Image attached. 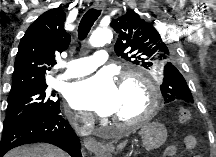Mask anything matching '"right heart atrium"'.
<instances>
[{
  "instance_id": "1",
  "label": "right heart atrium",
  "mask_w": 216,
  "mask_h": 157,
  "mask_svg": "<svg viewBox=\"0 0 216 157\" xmlns=\"http://www.w3.org/2000/svg\"><path fill=\"white\" fill-rule=\"evenodd\" d=\"M65 115L71 120V121H79L83 125H89L91 118L89 115L82 114L80 116H75L72 112H70L68 109H65Z\"/></svg>"
}]
</instances>
